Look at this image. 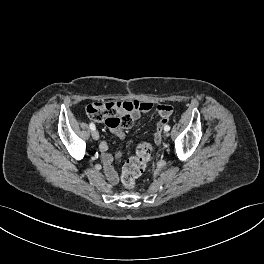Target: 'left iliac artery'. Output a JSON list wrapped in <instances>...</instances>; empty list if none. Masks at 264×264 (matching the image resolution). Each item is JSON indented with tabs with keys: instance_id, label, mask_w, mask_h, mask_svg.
<instances>
[{
	"instance_id": "44dca946",
	"label": "left iliac artery",
	"mask_w": 264,
	"mask_h": 264,
	"mask_svg": "<svg viewBox=\"0 0 264 264\" xmlns=\"http://www.w3.org/2000/svg\"><path fill=\"white\" fill-rule=\"evenodd\" d=\"M164 130H165V131H169V130H170V126H169V125H166V126L164 127Z\"/></svg>"
}]
</instances>
